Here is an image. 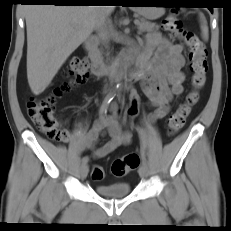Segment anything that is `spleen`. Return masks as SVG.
I'll list each match as a JSON object with an SVG mask.
<instances>
[{"label": "spleen", "instance_id": "1", "mask_svg": "<svg viewBox=\"0 0 231 231\" xmlns=\"http://www.w3.org/2000/svg\"><path fill=\"white\" fill-rule=\"evenodd\" d=\"M201 21H202V23H201L202 37H203V39L205 41H207L208 36H209V34H208V26H207L206 20L204 19L203 16H201Z\"/></svg>", "mask_w": 231, "mask_h": 231}]
</instances>
